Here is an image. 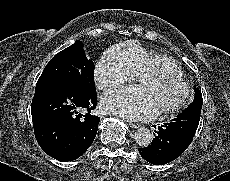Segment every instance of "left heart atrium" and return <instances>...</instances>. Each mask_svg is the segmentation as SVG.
Masks as SVG:
<instances>
[{
	"label": "left heart atrium",
	"mask_w": 230,
	"mask_h": 181,
	"mask_svg": "<svg viewBox=\"0 0 230 181\" xmlns=\"http://www.w3.org/2000/svg\"><path fill=\"white\" fill-rule=\"evenodd\" d=\"M103 105L108 111L131 120H145L155 115V109L147 103L137 87L108 92L103 98Z\"/></svg>",
	"instance_id": "39dd6f15"
}]
</instances>
